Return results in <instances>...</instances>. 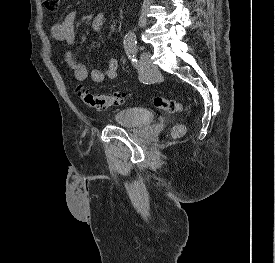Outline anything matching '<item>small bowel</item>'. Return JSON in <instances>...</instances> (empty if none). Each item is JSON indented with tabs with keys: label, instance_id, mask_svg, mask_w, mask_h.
I'll list each match as a JSON object with an SVG mask.
<instances>
[{
	"label": "small bowel",
	"instance_id": "c3829d8e",
	"mask_svg": "<svg viewBox=\"0 0 275 263\" xmlns=\"http://www.w3.org/2000/svg\"><path fill=\"white\" fill-rule=\"evenodd\" d=\"M76 17L77 13L73 11L68 13L61 21L53 24L51 28L53 37L58 41L73 44L75 42ZM105 23L106 16L104 14H96L91 19V29L94 32H100L104 28ZM64 60L78 81L92 79L95 82H102L105 79L113 80L118 75V61L113 57L107 58L104 69H88L84 64L76 61L70 51L64 54Z\"/></svg>",
	"mask_w": 275,
	"mask_h": 263
}]
</instances>
